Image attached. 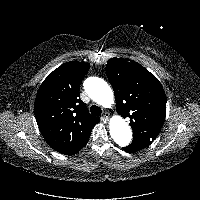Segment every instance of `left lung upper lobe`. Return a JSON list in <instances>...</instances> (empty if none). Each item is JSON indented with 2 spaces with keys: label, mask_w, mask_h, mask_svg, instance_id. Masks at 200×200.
<instances>
[{
  "label": "left lung upper lobe",
  "mask_w": 200,
  "mask_h": 200,
  "mask_svg": "<svg viewBox=\"0 0 200 200\" xmlns=\"http://www.w3.org/2000/svg\"><path fill=\"white\" fill-rule=\"evenodd\" d=\"M106 74L113 87L117 112L130 118L136 150L149 146L159 134L166 115V95L158 79L137 62L111 58Z\"/></svg>",
  "instance_id": "1"
}]
</instances>
